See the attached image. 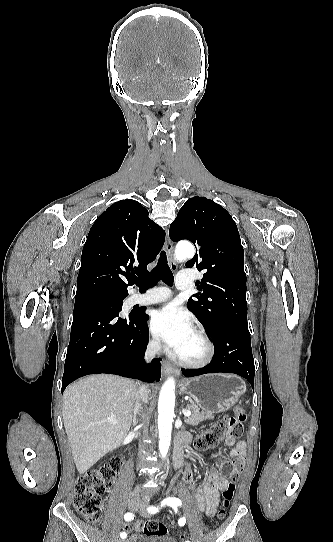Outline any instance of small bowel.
Wrapping results in <instances>:
<instances>
[{
    "mask_svg": "<svg viewBox=\"0 0 333 542\" xmlns=\"http://www.w3.org/2000/svg\"><path fill=\"white\" fill-rule=\"evenodd\" d=\"M188 435L189 438L184 440V444H188L192 439L191 434ZM224 443L226 446L232 448L230 451L231 457L234 459H244L246 450V442L244 440H236L231 436H227ZM182 447L183 445L178 446L180 449H182ZM191 478L192 468L190 465H188L183 473L182 480L184 482H189ZM236 482L237 480H228L227 478L221 476L214 467L210 468L205 482L195 491V502L197 509L204 512L208 517H213L216 513L217 507L220 504V493L230 484H236ZM124 529L134 532V534L128 538L127 542H136L137 534L141 529V524L140 522H135L133 524L126 523L124 524Z\"/></svg>",
    "mask_w": 333,
    "mask_h": 542,
    "instance_id": "obj_1",
    "label": "small bowel"
}]
</instances>
